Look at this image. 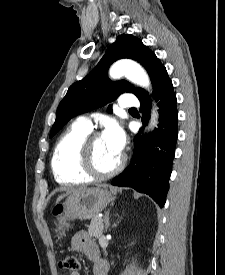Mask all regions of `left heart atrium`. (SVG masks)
<instances>
[{"label": "left heart atrium", "mask_w": 225, "mask_h": 275, "mask_svg": "<svg viewBox=\"0 0 225 275\" xmlns=\"http://www.w3.org/2000/svg\"><path fill=\"white\" fill-rule=\"evenodd\" d=\"M102 138L113 153L121 155L126 139L122 128L118 124L109 123L103 131Z\"/></svg>", "instance_id": "obj_1"}]
</instances>
